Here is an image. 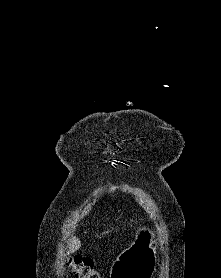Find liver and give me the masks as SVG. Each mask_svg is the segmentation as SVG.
Instances as JSON below:
<instances>
[{
	"label": "liver",
	"instance_id": "obj_1",
	"mask_svg": "<svg viewBox=\"0 0 221 278\" xmlns=\"http://www.w3.org/2000/svg\"><path fill=\"white\" fill-rule=\"evenodd\" d=\"M81 247V242L77 237H72L68 242V254L77 251Z\"/></svg>",
	"mask_w": 221,
	"mask_h": 278
}]
</instances>
